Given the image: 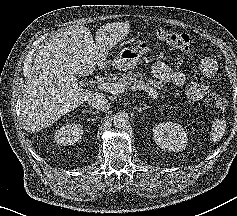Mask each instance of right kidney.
<instances>
[{
	"label": "right kidney",
	"instance_id": "right-kidney-1",
	"mask_svg": "<svg viewBox=\"0 0 237 216\" xmlns=\"http://www.w3.org/2000/svg\"><path fill=\"white\" fill-rule=\"evenodd\" d=\"M76 133H77V131H76ZM79 135L80 134L77 133L73 136V137H75L74 140H73V143L77 142L81 138Z\"/></svg>",
	"mask_w": 237,
	"mask_h": 216
}]
</instances>
